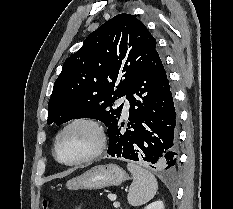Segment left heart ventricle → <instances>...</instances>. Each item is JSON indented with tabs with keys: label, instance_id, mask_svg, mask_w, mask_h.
Instances as JSON below:
<instances>
[{
	"label": "left heart ventricle",
	"instance_id": "1",
	"mask_svg": "<svg viewBox=\"0 0 233 209\" xmlns=\"http://www.w3.org/2000/svg\"><path fill=\"white\" fill-rule=\"evenodd\" d=\"M94 130L86 125H76L68 129L61 137L58 154L64 161H74L89 154L96 146Z\"/></svg>",
	"mask_w": 233,
	"mask_h": 209
}]
</instances>
